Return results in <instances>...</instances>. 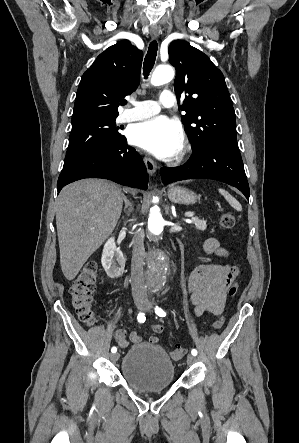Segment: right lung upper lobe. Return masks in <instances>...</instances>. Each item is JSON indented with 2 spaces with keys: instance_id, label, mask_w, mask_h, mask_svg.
Segmentation results:
<instances>
[{
  "instance_id": "cb5924a9",
  "label": "right lung upper lobe",
  "mask_w": 299,
  "mask_h": 443,
  "mask_svg": "<svg viewBox=\"0 0 299 443\" xmlns=\"http://www.w3.org/2000/svg\"><path fill=\"white\" fill-rule=\"evenodd\" d=\"M143 53L122 40L102 52L83 74L72 123L88 118L117 117L118 106L139 85Z\"/></svg>"
}]
</instances>
